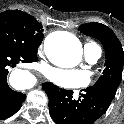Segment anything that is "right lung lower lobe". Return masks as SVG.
Masks as SVG:
<instances>
[{"label":"right lung lower lobe","mask_w":124,"mask_h":124,"mask_svg":"<svg viewBox=\"0 0 124 124\" xmlns=\"http://www.w3.org/2000/svg\"><path fill=\"white\" fill-rule=\"evenodd\" d=\"M37 55L28 56L13 50L0 47V120L15 114L24 102L26 95L12 90L7 83V75L11 68L19 63H31Z\"/></svg>","instance_id":"98d812e1"}]
</instances>
